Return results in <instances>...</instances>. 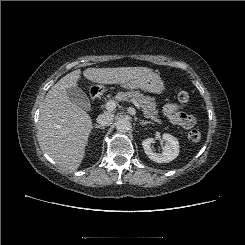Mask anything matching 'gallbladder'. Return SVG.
I'll use <instances>...</instances> for the list:
<instances>
[{
	"label": "gallbladder",
	"instance_id": "1",
	"mask_svg": "<svg viewBox=\"0 0 245 245\" xmlns=\"http://www.w3.org/2000/svg\"><path fill=\"white\" fill-rule=\"evenodd\" d=\"M66 93L70 99L71 102L78 105L79 107L90 110L91 104L88 96L86 93L79 87H72L66 89Z\"/></svg>",
	"mask_w": 245,
	"mask_h": 245
}]
</instances>
